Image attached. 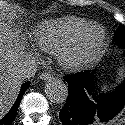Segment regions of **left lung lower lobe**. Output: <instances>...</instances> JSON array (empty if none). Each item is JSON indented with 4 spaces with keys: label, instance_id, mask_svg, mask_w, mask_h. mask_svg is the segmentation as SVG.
<instances>
[{
    "label": "left lung lower lobe",
    "instance_id": "obj_1",
    "mask_svg": "<svg viewBox=\"0 0 125 125\" xmlns=\"http://www.w3.org/2000/svg\"><path fill=\"white\" fill-rule=\"evenodd\" d=\"M69 95L59 113L63 125H100L114 118L125 105V81L111 94L94 93V73L65 76Z\"/></svg>",
    "mask_w": 125,
    "mask_h": 125
}]
</instances>
